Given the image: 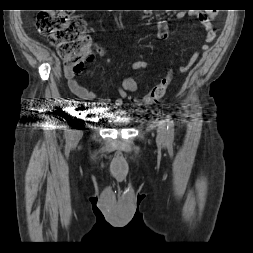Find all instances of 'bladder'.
<instances>
[{
  "label": "bladder",
  "mask_w": 253,
  "mask_h": 253,
  "mask_svg": "<svg viewBox=\"0 0 253 253\" xmlns=\"http://www.w3.org/2000/svg\"><path fill=\"white\" fill-rule=\"evenodd\" d=\"M107 114V119L112 124L124 126L131 123V119L127 117L124 111H110Z\"/></svg>",
  "instance_id": "31cf9c89"
}]
</instances>
